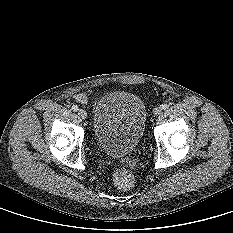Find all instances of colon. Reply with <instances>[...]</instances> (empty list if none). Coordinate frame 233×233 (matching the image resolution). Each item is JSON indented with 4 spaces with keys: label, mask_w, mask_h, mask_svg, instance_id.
I'll list each match as a JSON object with an SVG mask.
<instances>
[{
    "label": "colon",
    "mask_w": 233,
    "mask_h": 233,
    "mask_svg": "<svg viewBox=\"0 0 233 233\" xmlns=\"http://www.w3.org/2000/svg\"><path fill=\"white\" fill-rule=\"evenodd\" d=\"M113 181L118 189L128 190L134 184V176L128 169L120 168L115 171Z\"/></svg>",
    "instance_id": "obj_1"
}]
</instances>
